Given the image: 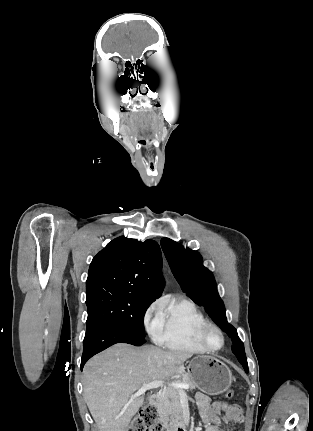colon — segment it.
I'll return each mask as SVG.
<instances>
[{"label":"colon","instance_id":"1","mask_svg":"<svg viewBox=\"0 0 313 431\" xmlns=\"http://www.w3.org/2000/svg\"><path fill=\"white\" fill-rule=\"evenodd\" d=\"M225 395L231 399L234 396V391L228 390ZM127 431H164V428L155 407L147 405L133 417Z\"/></svg>","mask_w":313,"mask_h":431}]
</instances>
